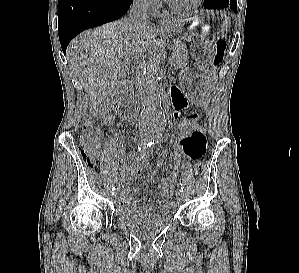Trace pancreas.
Instances as JSON below:
<instances>
[{"instance_id": "obj_1", "label": "pancreas", "mask_w": 299, "mask_h": 273, "mask_svg": "<svg viewBox=\"0 0 299 273\" xmlns=\"http://www.w3.org/2000/svg\"><path fill=\"white\" fill-rule=\"evenodd\" d=\"M188 50L184 43H179L175 46L174 54L170 61L171 65L175 68L185 67L188 62Z\"/></svg>"}]
</instances>
